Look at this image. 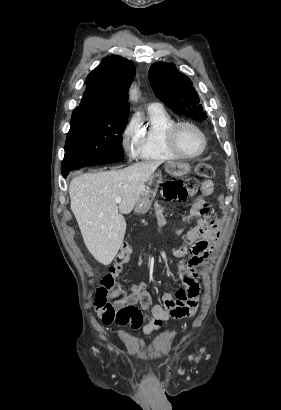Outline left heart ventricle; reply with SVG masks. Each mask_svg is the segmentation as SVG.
I'll use <instances>...</instances> for the list:
<instances>
[{
  "label": "left heart ventricle",
  "mask_w": 281,
  "mask_h": 410,
  "mask_svg": "<svg viewBox=\"0 0 281 410\" xmlns=\"http://www.w3.org/2000/svg\"><path fill=\"white\" fill-rule=\"evenodd\" d=\"M180 148L188 154H195L202 148L203 141L201 135L191 127H183L177 135Z\"/></svg>",
  "instance_id": "b2bd125f"
}]
</instances>
